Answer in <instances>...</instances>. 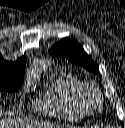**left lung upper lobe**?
Returning a JSON list of instances; mask_svg holds the SVG:
<instances>
[{
	"label": "left lung upper lobe",
	"mask_w": 125,
	"mask_h": 128,
	"mask_svg": "<svg viewBox=\"0 0 125 128\" xmlns=\"http://www.w3.org/2000/svg\"><path fill=\"white\" fill-rule=\"evenodd\" d=\"M50 52L52 55L65 57L71 62L83 66L93 73L99 72L98 65L85 53L83 47L73 39L66 38L55 43Z\"/></svg>",
	"instance_id": "left-lung-upper-lobe-1"
}]
</instances>
